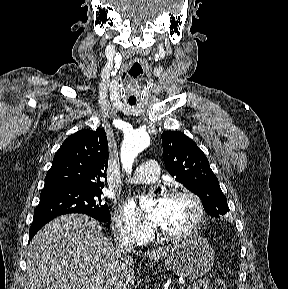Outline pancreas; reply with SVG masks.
I'll use <instances>...</instances> for the list:
<instances>
[{"label":"pancreas","mask_w":288,"mask_h":289,"mask_svg":"<svg viewBox=\"0 0 288 289\" xmlns=\"http://www.w3.org/2000/svg\"><path fill=\"white\" fill-rule=\"evenodd\" d=\"M209 281V278L202 279L198 283L190 285L187 289H208Z\"/></svg>","instance_id":"1"}]
</instances>
